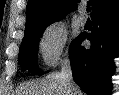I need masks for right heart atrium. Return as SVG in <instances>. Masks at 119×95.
Segmentation results:
<instances>
[{"mask_svg": "<svg viewBox=\"0 0 119 95\" xmlns=\"http://www.w3.org/2000/svg\"><path fill=\"white\" fill-rule=\"evenodd\" d=\"M68 31L62 22H53L42 32L39 51L44 63L53 67L67 55Z\"/></svg>", "mask_w": 119, "mask_h": 95, "instance_id": "obj_1", "label": "right heart atrium"}]
</instances>
